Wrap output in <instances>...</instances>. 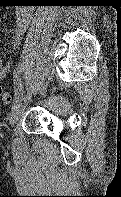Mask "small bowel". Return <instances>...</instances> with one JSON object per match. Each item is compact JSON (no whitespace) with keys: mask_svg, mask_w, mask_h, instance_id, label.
Instances as JSON below:
<instances>
[{"mask_svg":"<svg viewBox=\"0 0 121 197\" xmlns=\"http://www.w3.org/2000/svg\"><path fill=\"white\" fill-rule=\"evenodd\" d=\"M32 17V11L28 8H19L16 13V22L13 28V45L19 46ZM1 23V19H0ZM11 72V61L3 63L0 57V80H4Z\"/></svg>","mask_w":121,"mask_h":197,"instance_id":"small-bowel-1","label":"small bowel"}]
</instances>
